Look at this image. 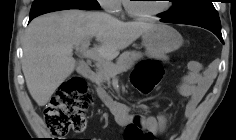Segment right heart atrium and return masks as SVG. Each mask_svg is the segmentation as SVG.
Instances as JSON below:
<instances>
[{
    "instance_id": "1",
    "label": "right heart atrium",
    "mask_w": 236,
    "mask_h": 140,
    "mask_svg": "<svg viewBox=\"0 0 236 140\" xmlns=\"http://www.w3.org/2000/svg\"><path fill=\"white\" fill-rule=\"evenodd\" d=\"M99 3L107 13L116 14L121 11L120 0H99Z\"/></svg>"
}]
</instances>
